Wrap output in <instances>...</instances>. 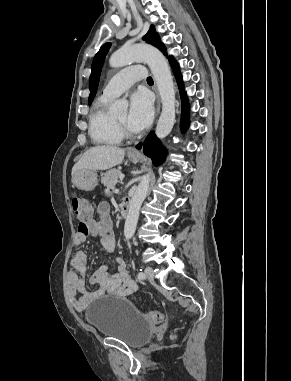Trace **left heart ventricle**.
<instances>
[{"label": "left heart ventricle", "mask_w": 291, "mask_h": 381, "mask_svg": "<svg viewBox=\"0 0 291 381\" xmlns=\"http://www.w3.org/2000/svg\"><path fill=\"white\" fill-rule=\"evenodd\" d=\"M116 119L118 120V121H120L122 124H124L129 130H131L130 129V127H129V125H128V113L125 111V112H123V113H121L120 115H118L117 117H116ZM132 131V130H131Z\"/></svg>", "instance_id": "obj_1"}]
</instances>
